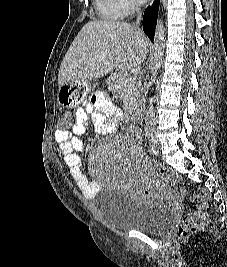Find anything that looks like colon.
<instances>
[{
	"label": "colon",
	"mask_w": 227,
	"mask_h": 267,
	"mask_svg": "<svg viewBox=\"0 0 227 267\" xmlns=\"http://www.w3.org/2000/svg\"><path fill=\"white\" fill-rule=\"evenodd\" d=\"M84 100V99H83ZM59 119H61V125H59V130H70V125H72V120L75 119V114H68V111H64V114H59ZM160 175L167 181L172 182V175L166 170H160ZM181 193H184V189L178 188ZM194 200L201 202L200 197H194ZM209 220L207 213L204 210V204L193 212L187 213L179 222L177 227V234L179 238H187L192 234L204 230L208 226Z\"/></svg>",
	"instance_id": "1"
}]
</instances>
